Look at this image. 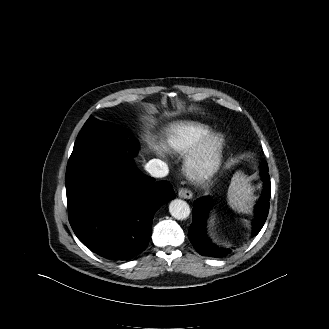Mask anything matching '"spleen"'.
<instances>
[{"mask_svg": "<svg viewBox=\"0 0 329 329\" xmlns=\"http://www.w3.org/2000/svg\"><path fill=\"white\" fill-rule=\"evenodd\" d=\"M253 192L254 189L248 178L242 172L237 171L228 188V203L234 210L247 213L250 211L254 199Z\"/></svg>", "mask_w": 329, "mask_h": 329, "instance_id": "1", "label": "spleen"}]
</instances>
